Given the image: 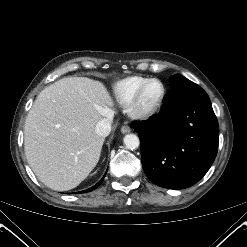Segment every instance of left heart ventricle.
Instances as JSON below:
<instances>
[{
	"label": "left heart ventricle",
	"instance_id": "left-heart-ventricle-1",
	"mask_svg": "<svg viewBox=\"0 0 247 247\" xmlns=\"http://www.w3.org/2000/svg\"><path fill=\"white\" fill-rule=\"evenodd\" d=\"M162 88L159 83H151L144 91L141 100L140 107L142 109H149L153 107L161 96Z\"/></svg>",
	"mask_w": 247,
	"mask_h": 247
}]
</instances>
